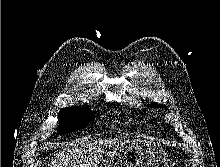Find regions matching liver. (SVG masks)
Segmentation results:
<instances>
[{"label": "liver", "instance_id": "obj_1", "mask_svg": "<svg viewBox=\"0 0 220 167\" xmlns=\"http://www.w3.org/2000/svg\"><path fill=\"white\" fill-rule=\"evenodd\" d=\"M136 141H125L120 138L86 142L85 139L67 143L57 153L50 167H110L121 146Z\"/></svg>", "mask_w": 220, "mask_h": 167}]
</instances>
